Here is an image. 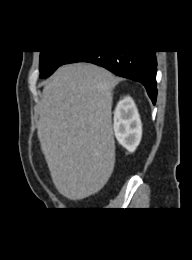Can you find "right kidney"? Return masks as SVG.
Returning <instances> with one entry per match:
<instances>
[{
    "label": "right kidney",
    "mask_w": 192,
    "mask_h": 260,
    "mask_svg": "<svg viewBox=\"0 0 192 260\" xmlns=\"http://www.w3.org/2000/svg\"><path fill=\"white\" fill-rule=\"evenodd\" d=\"M117 141L129 152H134L142 137V123L134 101L126 97L119 101L113 124Z\"/></svg>",
    "instance_id": "1"
}]
</instances>
